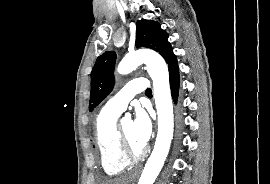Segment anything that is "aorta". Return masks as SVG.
<instances>
[{
    "label": "aorta",
    "mask_w": 270,
    "mask_h": 184,
    "mask_svg": "<svg viewBox=\"0 0 270 184\" xmlns=\"http://www.w3.org/2000/svg\"><path fill=\"white\" fill-rule=\"evenodd\" d=\"M146 64L152 78L154 98L158 114V133L154 149L144 167L138 184H153L168 155L173 137V105L169 86V72L165 60L154 51H137L127 54L117 71L126 75L140 64Z\"/></svg>",
    "instance_id": "obj_1"
}]
</instances>
